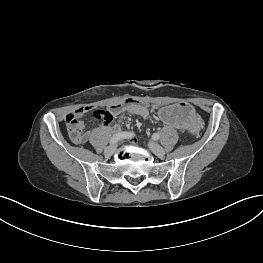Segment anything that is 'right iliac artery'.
Returning a JSON list of instances; mask_svg holds the SVG:
<instances>
[{
	"mask_svg": "<svg viewBox=\"0 0 263 263\" xmlns=\"http://www.w3.org/2000/svg\"><path fill=\"white\" fill-rule=\"evenodd\" d=\"M135 134L132 132H121L118 134H115L111 139H110V144H115L121 139H126V138H132L134 137Z\"/></svg>",
	"mask_w": 263,
	"mask_h": 263,
	"instance_id": "82829eb1",
	"label": "right iliac artery"
}]
</instances>
